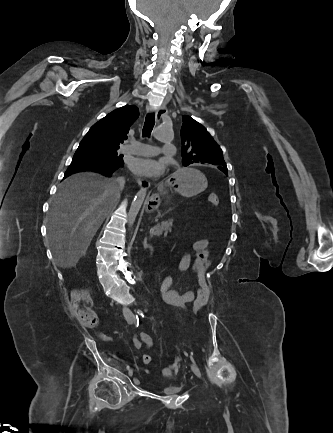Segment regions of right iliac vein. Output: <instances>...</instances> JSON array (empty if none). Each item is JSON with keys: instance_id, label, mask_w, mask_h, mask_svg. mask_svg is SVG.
Wrapping results in <instances>:
<instances>
[{"instance_id": "1", "label": "right iliac vein", "mask_w": 333, "mask_h": 433, "mask_svg": "<svg viewBox=\"0 0 333 433\" xmlns=\"http://www.w3.org/2000/svg\"><path fill=\"white\" fill-rule=\"evenodd\" d=\"M128 374H129V376H132V375H133V370L130 369V370L128 371ZM134 382H135L136 384H139V380H138L137 378H134Z\"/></svg>"}]
</instances>
